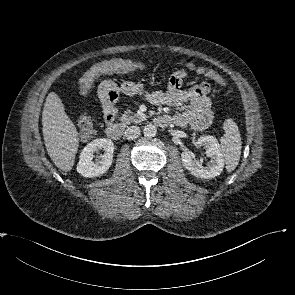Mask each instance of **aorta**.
I'll list each match as a JSON object with an SVG mask.
<instances>
[{"label": "aorta", "instance_id": "obj_1", "mask_svg": "<svg viewBox=\"0 0 295 295\" xmlns=\"http://www.w3.org/2000/svg\"><path fill=\"white\" fill-rule=\"evenodd\" d=\"M143 133L148 138H153L157 134V128L153 124H148L144 127Z\"/></svg>", "mask_w": 295, "mask_h": 295}]
</instances>
